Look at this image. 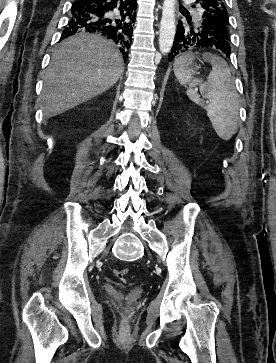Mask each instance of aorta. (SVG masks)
I'll list each match as a JSON object with an SVG mask.
<instances>
[{
	"mask_svg": "<svg viewBox=\"0 0 276 363\" xmlns=\"http://www.w3.org/2000/svg\"><path fill=\"white\" fill-rule=\"evenodd\" d=\"M176 0H164L160 22L159 49L163 55L170 52L175 36Z\"/></svg>",
	"mask_w": 276,
	"mask_h": 363,
	"instance_id": "obj_1",
	"label": "aorta"
}]
</instances>
